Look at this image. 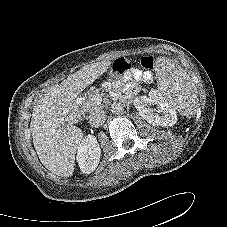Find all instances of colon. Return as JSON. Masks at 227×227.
I'll list each match as a JSON object with an SVG mask.
<instances>
[{"mask_svg": "<svg viewBox=\"0 0 227 227\" xmlns=\"http://www.w3.org/2000/svg\"><path fill=\"white\" fill-rule=\"evenodd\" d=\"M140 65L146 72H151L155 67V59L152 56H144L140 60ZM130 67L131 63L127 59L120 58L114 62L111 74L113 77H117L127 72Z\"/></svg>", "mask_w": 227, "mask_h": 227, "instance_id": "1", "label": "colon"}]
</instances>
